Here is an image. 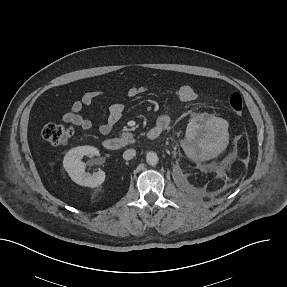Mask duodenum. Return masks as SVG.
<instances>
[{
	"label": "duodenum",
	"instance_id": "duodenum-1",
	"mask_svg": "<svg viewBox=\"0 0 287 287\" xmlns=\"http://www.w3.org/2000/svg\"><path fill=\"white\" fill-rule=\"evenodd\" d=\"M162 127H153L147 132V136L151 140L157 139L163 132ZM103 146L110 151L120 150L125 146V141L118 137L107 138L103 142Z\"/></svg>",
	"mask_w": 287,
	"mask_h": 287
}]
</instances>
